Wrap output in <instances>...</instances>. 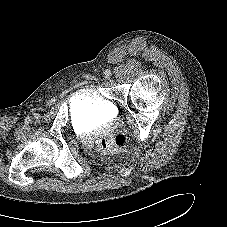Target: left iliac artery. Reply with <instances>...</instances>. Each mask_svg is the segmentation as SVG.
<instances>
[{"instance_id":"1","label":"left iliac artery","mask_w":227,"mask_h":227,"mask_svg":"<svg viewBox=\"0 0 227 227\" xmlns=\"http://www.w3.org/2000/svg\"><path fill=\"white\" fill-rule=\"evenodd\" d=\"M112 73H111V70L110 69H107L106 71H105V75L106 76H110Z\"/></svg>"}]
</instances>
